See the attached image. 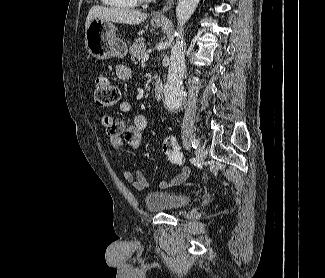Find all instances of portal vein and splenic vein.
Here are the masks:
<instances>
[{
	"label": "portal vein and splenic vein",
	"instance_id": "1",
	"mask_svg": "<svg viewBox=\"0 0 325 278\" xmlns=\"http://www.w3.org/2000/svg\"><path fill=\"white\" fill-rule=\"evenodd\" d=\"M149 59V54L145 53L142 57L143 61H147Z\"/></svg>",
	"mask_w": 325,
	"mask_h": 278
}]
</instances>
